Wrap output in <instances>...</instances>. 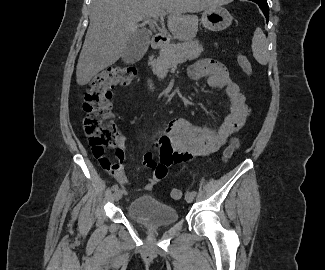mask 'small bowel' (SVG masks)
<instances>
[{"label":"small bowel","mask_w":325,"mask_h":270,"mask_svg":"<svg viewBox=\"0 0 325 270\" xmlns=\"http://www.w3.org/2000/svg\"><path fill=\"white\" fill-rule=\"evenodd\" d=\"M188 74L193 80L206 78L210 87L225 89L229 113L217 128L194 126L181 118L171 120L157 145L161 164L157 163L152 152L143 155L144 166L152 171L148 182L142 187L144 191L151 190L163 179L168 168L173 164L217 152L226 144L230 136L243 126L248 116L249 108L245 97L238 85L230 79L223 65L210 60L198 61L190 67ZM115 157L119 163L118 167L112 168L100 164L122 185L129 186V180L123 172V163L126 161L123 135L119 137Z\"/></svg>","instance_id":"c3829d8e"}]
</instances>
